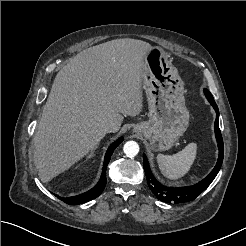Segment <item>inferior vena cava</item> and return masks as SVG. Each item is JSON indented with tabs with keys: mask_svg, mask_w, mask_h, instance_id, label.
Instances as JSON below:
<instances>
[{
	"mask_svg": "<svg viewBox=\"0 0 246 246\" xmlns=\"http://www.w3.org/2000/svg\"><path fill=\"white\" fill-rule=\"evenodd\" d=\"M102 130L104 133H111V132H116L117 128L113 123L105 122L102 124Z\"/></svg>",
	"mask_w": 246,
	"mask_h": 246,
	"instance_id": "inferior-vena-cava-1",
	"label": "inferior vena cava"
}]
</instances>
